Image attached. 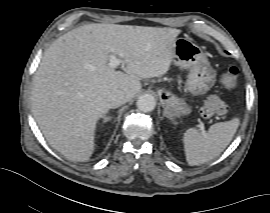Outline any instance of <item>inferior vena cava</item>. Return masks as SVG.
Listing matches in <instances>:
<instances>
[{"mask_svg":"<svg viewBox=\"0 0 270 213\" xmlns=\"http://www.w3.org/2000/svg\"><path fill=\"white\" fill-rule=\"evenodd\" d=\"M109 101L112 107H119L127 102L126 95L121 90H114L109 95Z\"/></svg>","mask_w":270,"mask_h":213,"instance_id":"obj_1","label":"inferior vena cava"}]
</instances>
